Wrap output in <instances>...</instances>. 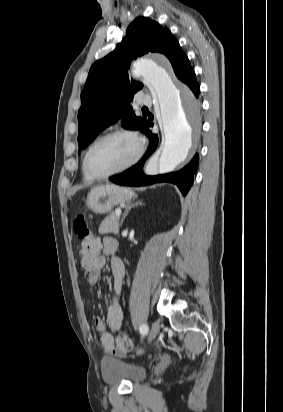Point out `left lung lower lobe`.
<instances>
[{"instance_id": "left-lung-lower-lobe-1", "label": "left lung lower lobe", "mask_w": 283, "mask_h": 412, "mask_svg": "<svg viewBox=\"0 0 283 412\" xmlns=\"http://www.w3.org/2000/svg\"><path fill=\"white\" fill-rule=\"evenodd\" d=\"M184 82L194 93L196 97L199 96L200 87L196 81V75L194 70L191 71L183 80ZM153 124L148 122L147 126L143 130V132L149 137L150 139V146L144 155L143 159L136 165L132 166L125 172L112 176L109 180L118 185L124 186H148L155 183H172L175 184L181 191V193L185 196L189 189L192 186L194 180V173L198 167V155L196 154L193 159L187 164L184 168L177 172H171L162 175L156 176H145L143 173V165L146 159L155 151L158 145V136L152 134L150 131V127Z\"/></svg>"}]
</instances>
